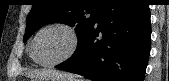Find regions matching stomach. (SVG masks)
<instances>
[{"mask_svg": "<svg viewBox=\"0 0 169 81\" xmlns=\"http://www.w3.org/2000/svg\"><path fill=\"white\" fill-rule=\"evenodd\" d=\"M33 81H77V80L73 78L53 76V77H47V78L33 79Z\"/></svg>", "mask_w": 169, "mask_h": 81, "instance_id": "obj_1", "label": "stomach"}]
</instances>
